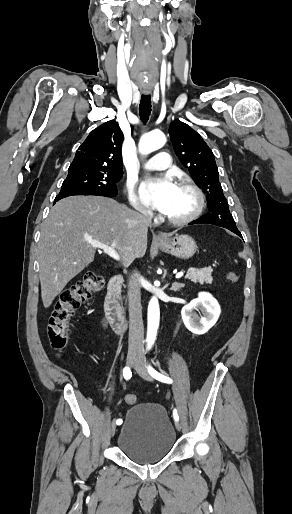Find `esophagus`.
Segmentation results:
<instances>
[{
	"label": "esophagus",
	"instance_id": "1",
	"mask_svg": "<svg viewBox=\"0 0 292 514\" xmlns=\"http://www.w3.org/2000/svg\"><path fill=\"white\" fill-rule=\"evenodd\" d=\"M142 92L145 94V95H149L151 93V89H146V90H142ZM155 240L157 242H164L165 240V237L163 234H157L156 237H155Z\"/></svg>",
	"mask_w": 292,
	"mask_h": 514
}]
</instances>
